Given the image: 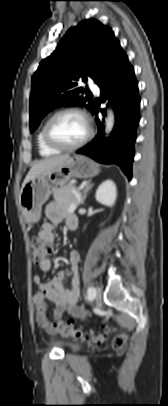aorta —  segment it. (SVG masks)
<instances>
[{"label":"aorta","instance_id":"aorta-1","mask_svg":"<svg viewBox=\"0 0 168 406\" xmlns=\"http://www.w3.org/2000/svg\"><path fill=\"white\" fill-rule=\"evenodd\" d=\"M114 126V113L112 109L108 110L107 113V118L105 121V132L106 134H109L111 132V130L113 129Z\"/></svg>","mask_w":168,"mask_h":406}]
</instances>
